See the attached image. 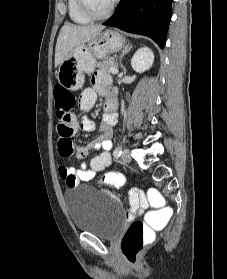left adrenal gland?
Here are the masks:
<instances>
[{"label":"left adrenal gland","instance_id":"left-adrenal-gland-1","mask_svg":"<svg viewBox=\"0 0 227 279\" xmlns=\"http://www.w3.org/2000/svg\"><path fill=\"white\" fill-rule=\"evenodd\" d=\"M131 49H132V45H127L126 47H124V49L122 50V54L120 56V59H119V63H120L121 68L123 69V74L124 75L126 74V69L122 64V59H123L124 55H126V53H128Z\"/></svg>","mask_w":227,"mask_h":279}]
</instances>
